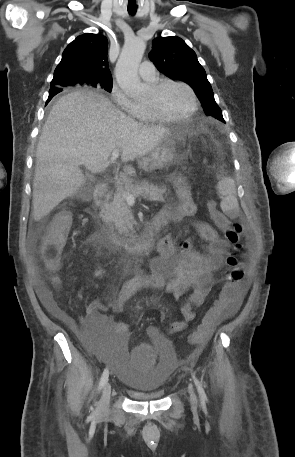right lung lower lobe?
Returning a JSON list of instances; mask_svg holds the SVG:
<instances>
[{"mask_svg": "<svg viewBox=\"0 0 295 457\" xmlns=\"http://www.w3.org/2000/svg\"><path fill=\"white\" fill-rule=\"evenodd\" d=\"M61 92V89L58 88H50L49 90V97L47 100V103L52 99L53 96H55L57 93Z\"/></svg>", "mask_w": 295, "mask_h": 457, "instance_id": "obj_1", "label": "right lung lower lobe"}]
</instances>
